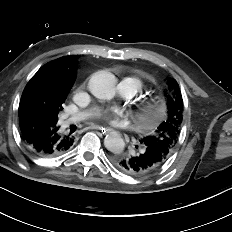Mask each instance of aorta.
Wrapping results in <instances>:
<instances>
[{"mask_svg": "<svg viewBox=\"0 0 232 232\" xmlns=\"http://www.w3.org/2000/svg\"><path fill=\"white\" fill-rule=\"evenodd\" d=\"M115 87V76L106 71L95 73L89 81V88L92 94L103 100H110L114 97ZM104 146L113 153H120L125 147V142L118 133L113 132L105 137Z\"/></svg>", "mask_w": 232, "mask_h": 232, "instance_id": "1", "label": "aorta"}]
</instances>
